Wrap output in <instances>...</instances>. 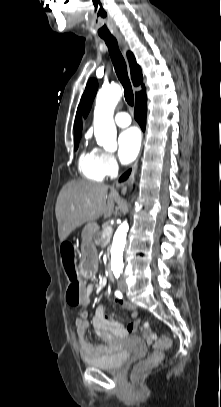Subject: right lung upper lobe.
I'll use <instances>...</instances> for the list:
<instances>
[{
	"instance_id": "obj_1",
	"label": "right lung upper lobe",
	"mask_w": 221,
	"mask_h": 407,
	"mask_svg": "<svg viewBox=\"0 0 221 407\" xmlns=\"http://www.w3.org/2000/svg\"><path fill=\"white\" fill-rule=\"evenodd\" d=\"M127 56H128V60H129V64H130L131 78L133 80V84L135 86H138L143 81L141 68L136 63L135 57L131 52H128ZM142 87H143L142 91L135 94L136 103L146 97L145 88L143 85H142ZM80 137H81V125H80V117H79V109H78L76 118H75V123H74V143L79 142Z\"/></svg>"
}]
</instances>
